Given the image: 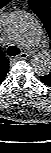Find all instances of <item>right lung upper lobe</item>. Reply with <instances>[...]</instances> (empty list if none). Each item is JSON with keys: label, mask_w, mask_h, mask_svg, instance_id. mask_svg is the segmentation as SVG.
<instances>
[{"label": "right lung upper lobe", "mask_w": 51, "mask_h": 153, "mask_svg": "<svg viewBox=\"0 0 51 153\" xmlns=\"http://www.w3.org/2000/svg\"><path fill=\"white\" fill-rule=\"evenodd\" d=\"M8 2H10V0H0V9ZM8 69H9V61L0 50V84L3 82L8 72Z\"/></svg>", "instance_id": "1"}]
</instances>
